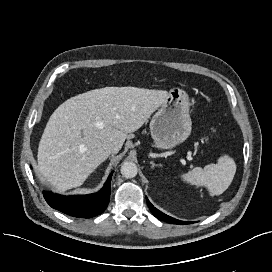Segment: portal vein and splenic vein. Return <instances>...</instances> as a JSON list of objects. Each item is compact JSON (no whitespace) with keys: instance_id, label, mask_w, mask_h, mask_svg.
<instances>
[{"instance_id":"1","label":"portal vein and splenic vein","mask_w":272,"mask_h":272,"mask_svg":"<svg viewBox=\"0 0 272 272\" xmlns=\"http://www.w3.org/2000/svg\"><path fill=\"white\" fill-rule=\"evenodd\" d=\"M186 158H187L188 160H193V158H192L191 155H187ZM181 162L184 163L185 161H184V160H181Z\"/></svg>"}]
</instances>
